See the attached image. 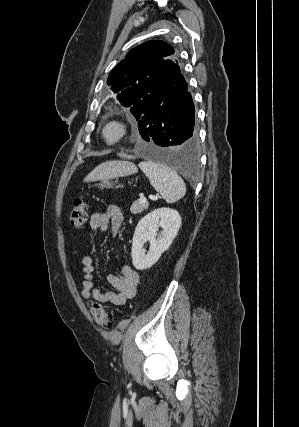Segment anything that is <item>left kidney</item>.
I'll list each match as a JSON object with an SVG mask.
<instances>
[{"label": "left kidney", "mask_w": 299, "mask_h": 427, "mask_svg": "<svg viewBox=\"0 0 299 427\" xmlns=\"http://www.w3.org/2000/svg\"><path fill=\"white\" fill-rule=\"evenodd\" d=\"M181 226L178 211L170 208H158L144 216L137 224L132 242V263L137 270L153 266L176 237ZM159 228L161 232L158 233ZM149 241L148 253L143 250Z\"/></svg>", "instance_id": "5707ae66"}]
</instances>
